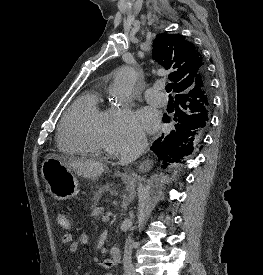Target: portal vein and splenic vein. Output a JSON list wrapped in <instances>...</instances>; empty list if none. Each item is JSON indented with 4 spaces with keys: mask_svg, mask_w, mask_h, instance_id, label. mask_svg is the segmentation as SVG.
Segmentation results:
<instances>
[{
    "mask_svg": "<svg viewBox=\"0 0 263 275\" xmlns=\"http://www.w3.org/2000/svg\"><path fill=\"white\" fill-rule=\"evenodd\" d=\"M109 215L107 214L106 216H103L102 217V220L104 221V222H106V221H109Z\"/></svg>",
    "mask_w": 263,
    "mask_h": 275,
    "instance_id": "obj_1",
    "label": "portal vein and splenic vein"
}]
</instances>
